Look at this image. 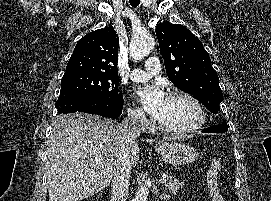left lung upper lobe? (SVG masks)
<instances>
[{"mask_svg":"<svg viewBox=\"0 0 271 201\" xmlns=\"http://www.w3.org/2000/svg\"><path fill=\"white\" fill-rule=\"evenodd\" d=\"M156 35L171 82L195 96L210 112H219L223 93L201 41L186 27L167 22L156 26ZM220 125L228 130L226 121Z\"/></svg>","mask_w":271,"mask_h":201,"instance_id":"5c2ea615","label":"left lung upper lobe"}]
</instances>
